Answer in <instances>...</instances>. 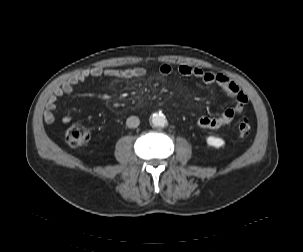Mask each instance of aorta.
Masks as SVG:
<instances>
[{"mask_svg":"<svg viewBox=\"0 0 303 252\" xmlns=\"http://www.w3.org/2000/svg\"><path fill=\"white\" fill-rule=\"evenodd\" d=\"M150 122L154 127H164L167 124V119L161 113H154L150 118Z\"/></svg>","mask_w":303,"mask_h":252,"instance_id":"aorta-1","label":"aorta"}]
</instances>
